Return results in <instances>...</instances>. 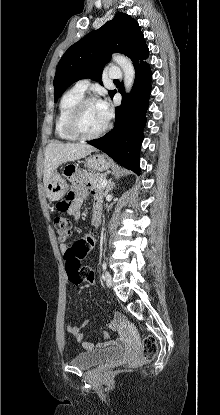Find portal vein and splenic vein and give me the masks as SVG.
Here are the masks:
<instances>
[{
  "instance_id": "obj_1",
  "label": "portal vein and splenic vein",
  "mask_w": 220,
  "mask_h": 415,
  "mask_svg": "<svg viewBox=\"0 0 220 415\" xmlns=\"http://www.w3.org/2000/svg\"><path fill=\"white\" fill-rule=\"evenodd\" d=\"M107 185V180L102 181L101 187L104 188Z\"/></svg>"
}]
</instances>
